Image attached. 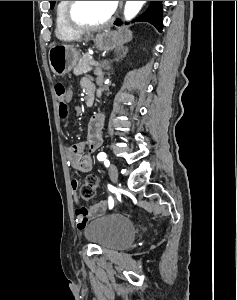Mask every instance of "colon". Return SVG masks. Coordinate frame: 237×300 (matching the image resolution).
<instances>
[{
	"mask_svg": "<svg viewBox=\"0 0 237 300\" xmlns=\"http://www.w3.org/2000/svg\"><path fill=\"white\" fill-rule=\"evenodd\" d=\"M55 91L60 104V116L62 119H66L68 117V107L67 104L69 103L67 99V90L62 83H57L55 86ZM98 187V179L94 175H89L84 183H82L79 187V195L82 200L88 202L90 201L96 192Z\"/></svg>",
	"mask_w": 237,
	"mask_h": 300,
	"instance_id": "5ec220e1",
	"label": "colon"
}]
</instances>
